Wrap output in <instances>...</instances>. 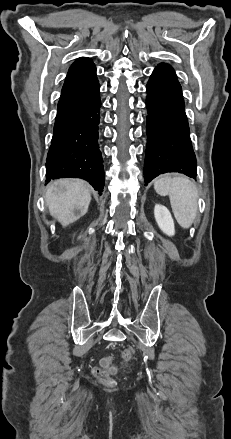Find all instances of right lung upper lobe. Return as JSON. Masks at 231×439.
Instances as JSON below:
<instances>
[{
  "label": "right lung upper lobe",
  "instance_id": "right-lung-upper-lobe-1",
  "mask_svg": "<svg viewBox=\"0 0 231 439\" xmlns=\"http://www.w3.org/2000/svg\"><path fill=\"white\" fill-rule=\"evenodd\" d=\"M95 75L96 68L92 60L86 57L78 58L68 71L62 92L88 81Z\"/></svg>",
  "mask_w": 231,
  "mask_h": 439
}]
</instances>
